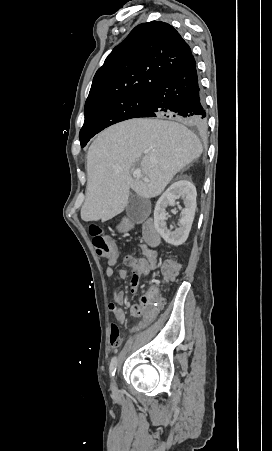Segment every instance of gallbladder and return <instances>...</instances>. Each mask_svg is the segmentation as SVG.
I'll use <instances>...</instances> for the list:
<instances>
[{
	"mask_svg": "<svg viewBox=\"0 0 272 451\" xmlns=\"http://www.w3.org/2000/svg\"><path fill=\"white\" fill-rule=\"evenodd\" d=\"M149 200L141 198L138 194H133L128 200L126 206V214L130 222H136V224H142L149 216Z\"/></svg>",
	"mask_w": 272,
	"mask_h": 451,
	"instance_id": "gallbladder-1",
	"label": "gallbladder"
}]
</instances>
